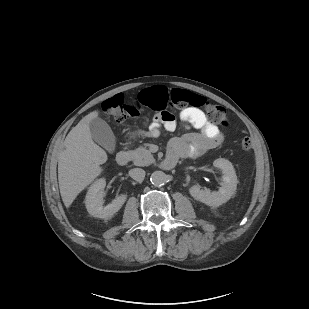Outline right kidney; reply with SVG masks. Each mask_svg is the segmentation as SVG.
Returning a JSON list of instances; mask_svg holds the SVG:
<instances>
[{"label": "right kidney", "mask_w": 309, "mask_h": 309, "mask_svg": "<svg viewBox=\"0 0 309 309\" xmlns=\"http://www.w3.org/2000/svg\"><path fill=\"white\" fill-rule=\"evenodd\" d=\"M106 181L101 178L96 180L90 187L86 194L85 205L90 215L108 219L118 212L127 199L126 194L117 196L111 204L103 207V197L105 196Z\"/></svg>", "instance_id": "right-kidney-1"}]
</instances>
